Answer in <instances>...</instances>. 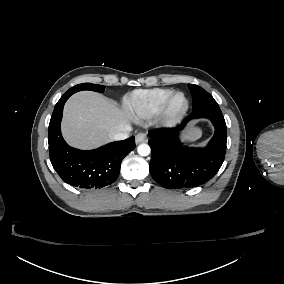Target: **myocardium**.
I'll list each match as a JSON object with an SVG mask.
<instances>
[{"mask_svg": "<svg viewBox=\"0 0 284 284\" xmlns=\"http://www.w3.org/2000/svg\"><path fill=\"white\" fill-rule=\"evenodd\" d=\"M178 94H182L184 96V107L179 114L172 116L169 114V105L172 99ZM189 108L190 101L186 93H184L183 91H174L167 97H165V99L162 101L160 107L153 116V123L161 129H171L184 120L189 111Z\"/></svg>", "mask_w": 284, "mask_h": 284, "instance_id": "myocardium-1", "label": "myocardium"}]
</instances>
